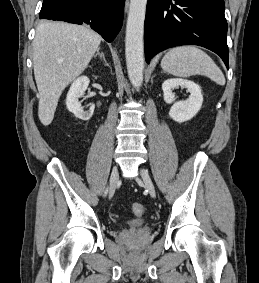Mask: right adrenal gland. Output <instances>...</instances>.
<instances>
[{
    "instance_id": "obj_1",
    "label": "right adrenal gland",
    "mask_w": 259,
    "mask_h": 283,
    "mask_svg": "<svg viewBox=\"0 0 259 283\" xmlns=\"http://www.w3.org/2000/svg\"><path fill=\"white\" fill-rule=\"evenodd\" d=\"M97 56H99L101 60H105V59H104V54H103V53H100L99 49L97 50V53L95 54L94 57L96 58Z\"/></svg>"
}]
</instances>
